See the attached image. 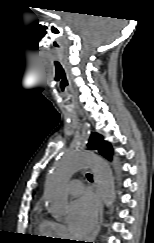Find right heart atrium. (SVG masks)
Returning a JSON list of instances; mask_svg holds the SVG:
<instances>
[{
	"instance_id": "right-heart-atrium-1",
	"label": "right heart atrium",
	"mask_w": 154,
	"mask_h": 243,
	"mask_svg": "<svg viewBox=\"0 0 154 243\" xmlns=\"http://www.w3.org/2000/svg\"><path fill=\"white\" fill-rule=\"evenodd\" d=\"M51 222H52V227H53L55 236H57L59 238L70 237L67 228L63 224L55 222V221H51Z\"/></svg>"
}]
</instances>
